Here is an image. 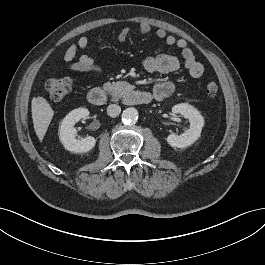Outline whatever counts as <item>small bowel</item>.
Here are the masks:
<instances>
[{
    "mask_svg": "<svg viewBox=\"0 0 265 265\" xmlns=\"http://www.w3.org/2000/svg\"><path fill=\"white\" fill-rule=\"evenodd\" d=\"M139 33L148 35L151 32V26L147 23L139 25ZM130 35V28L124 27L120 30L117 36L119 42H124ZM156 36L164 40L169 46H176L181 51V58L169 54H161L156 57H145L142 60L143 68L150 73H172L183 65L191 78H200L204 73L203 65L196 60L194 53L189 48L184 39H177L173 35L167 34L164 29H158ZM89 45V40L86 36H81L76 42L72 43L64 53V60L68 63L70 70L75 72H86L98 74L100 67L94 59L85 53ZM80 52L78 61H73L76 55ZM175 86L172 82L163 81L154 85L152 89L153 97L158 100H164L173 94Z\"/></svg>",
    "mask_w": 265,
    "mask_h": 265,
    "instance_id": "small-bowel-1",
    "label": "small bowel"
}]
</instances>
